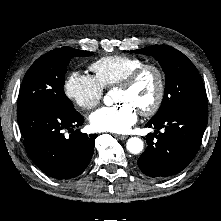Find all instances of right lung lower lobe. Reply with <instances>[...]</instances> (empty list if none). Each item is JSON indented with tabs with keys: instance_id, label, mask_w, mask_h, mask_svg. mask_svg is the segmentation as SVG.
<instances>
[{
	"instance_id": "obj_1",
	"label": "right lung lower lobe",
	"mask_w": 221,
	"mask_h": 221,
	"mask_svg": "<svg viewBox=\"0 0 221 221\" xmlns=\"http://www.w3.org/2000/svg\"><path fill=\"white\" fill-rule=\"evenodd\" d=\"M17 119L29 157L48 176L70 179L88 166L97 134L73 132L84 122L78 112L32 103L17 108ZM66 130L73 133L65 136Z\"/></svg>"
}]
</instances>
